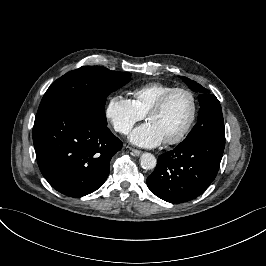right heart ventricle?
<instances>
[{"instance_id": "right-heart-ventricle-1", "label": "right heart ventricle", "mask_w": 266, "mask_h": 266, "mask_svg": "<svg viewBox=\"0 0 266 266\" xmlns=\"http://www.w3.org/2000/svg\"><path fill=\"white\" fill-rule=\"evenodd\" d=\"M173 87L175 86L162 82L146 83L135 87L130 93V99L135 108L142 115H145L147 110L159 99V97Z\"/></svg>"}]
</instances>
